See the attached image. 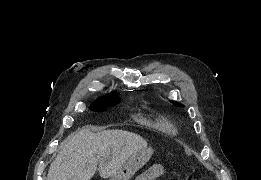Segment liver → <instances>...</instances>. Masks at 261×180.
I'll return each instance as SVG.
<instances>
[{
  "mask_svg": "<svg viewBox=\"0 0 261 180\" xmlns=\"http://www.w3.org/2000/svg\"><path fill=\"white\" fill-rule=\"evenodd\" d=\"M145 148L146 140L133 132H94L92 126H87L68 136L48 170L47 180H91L96 170L106 180L130 156Z\"/></svg>",
  "mask_w": 261,
  "mask_h": 180,
  "instance_id": "1",
  "label": "liver"
}]
</instances>
